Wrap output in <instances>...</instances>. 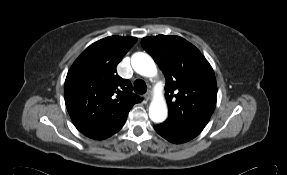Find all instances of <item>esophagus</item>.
<instances>
[{
	"label": "esophagus",
	"instance_id": "esophagus-1",
	"mask_svg": "<svg viewBox=\"0 0 287 175\" xmlns=\"http://www.w3.org/2000/svg\"><path fill=\"white\" fill-rule=\"evenodd\" d=\"M151 97H152V92L151 91H148L146 94H144V98L145 99H151Z\"/></svg>",
	"mask_w": 287,
	"mask_h": 175
}]
</instances>
